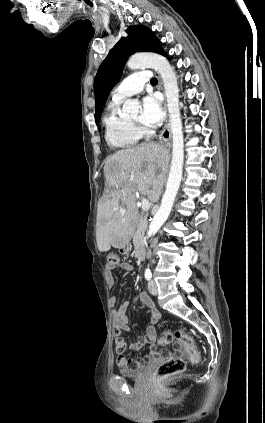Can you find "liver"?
Instances as JSON below:
<instances>
[{
    "label": "liver",
    "mask_w": 265,
    "mask_h": 423,
    "mask_svg": "<svg viewBox=\"0 0 265 423\" xmlns=\"http://www.w3.org/2000/svg\"><path fill=\"white\" fill-rule=\"evenodd\" d=\"M168 151L158 143H142L115 152L104 166L106 184L112 188L98 206V250L117 248L127 239L129 221L135 216L136 192L157 202L165 182Z\"/></svg>",
    "instance_id": "liver-1"
}]
</instances>
